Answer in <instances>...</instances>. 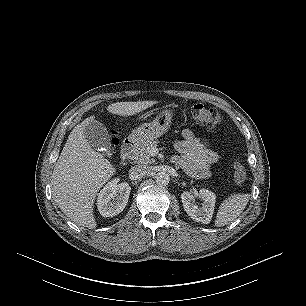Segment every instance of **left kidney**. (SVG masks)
<instances>
[{"label": "left kidney", "instance_id": "left-kidney-1", "mask_svg": "<svg viewBox=\"0 0 306 306\" xmlns=\"http://www.w3.org/2000/svg\"><path fill=\"white\" fill-rule=\"evenodd\" d=\"M198 196L202 200L201 206L195 204V197L191 192H183L181 200L184 210L192 220L208 224L214 212L216 195L207 189H200Z\"/></svg>", "mask_w": 306, "mask_h": 306}]
</instances>
